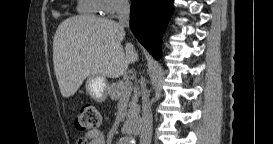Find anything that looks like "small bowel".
Here are the masks:
<instances>
[{
	"label": "small bowel",
	"mask_w": 273,
	"mask_h": 144,
	"mask_svg": "<svg viewBox=\"0 0 273 144\" xmlns=\"http://www.w3.org/2000/svg\"><path fill=\"white\" fill-rule=\"evenodd\" d=\"M76 144H105V137L100 130H92L79 137Z\"/></svg>",
	"instance_id": "obj_1"
}]
</instances>
